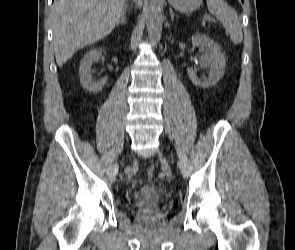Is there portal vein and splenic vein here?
I'll list each match as a JSON object with an SVG mask.
<instances>
[{"label":"portal vein and splenic vein","mask_w":295,"mask_h":250,"mask_svg":"<svg viewBox=\"0 0 295 250\" xmlns=\"http://www.w3.org/2000/svg\"><path fill=\"white\" fill-rule=\"evenodd\" d=\"M204 19H206V20H210L211 18H210V16H207V15H206V16L204 17Z\"/></svg>","instance_id":"18ae733b"}]
</instances>
